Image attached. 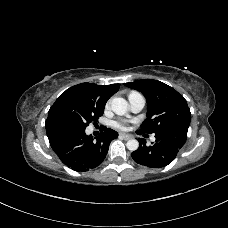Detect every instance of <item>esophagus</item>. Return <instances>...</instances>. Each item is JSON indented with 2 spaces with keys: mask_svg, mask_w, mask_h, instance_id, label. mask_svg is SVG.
Returning <instances> with one entry per match:
<instances>
[{
  "mask_svg": "<svg viewBox=\"0 0 228 228\" xmlns=\"http://www.w3.org/2000/svg\"><path fill=\"white\" fill-rule=\"evenodd\" d=\"M119 136L124 140H129L132 138L130 135H127V134H120Z\"/></svg>",
  "mask_w": 228,
  "mask_h": 228,
  "instance_id": "34e87169",
  "label": "esophagus"
}]
</instances>
